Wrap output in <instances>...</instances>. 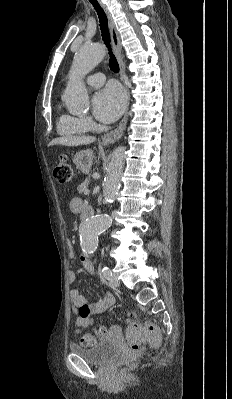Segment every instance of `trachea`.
I'll list each match as a JSON object with an SVG mask.
<instances>
[{"label":"trachea","mask_w":232,"mask_h":399,"mask_svg":"<svg viewBox=\"0 0 232 399\" xmlns=\"http://www.w3.org/2000/svg\"><path fill=\"white\" fill-rule=\"evenodd\" d=\"M90 2L94 6V8L99 16V22H100V28H101V32H102L103 41L105 42V44L109 50V54H110V60H109L110 69L113 72L118 73L119 65H118V62H117L114 54L112 53L111 48H110V36H109V31H108V20H107L106 14H105L104 10L100 7L97 0H90Z\"/></svg>","instance_id":"trachea-1"}]
</instances>
